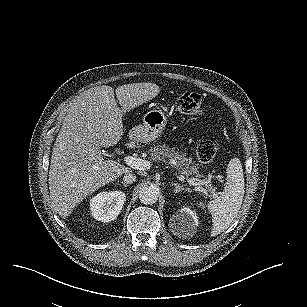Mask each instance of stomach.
<instances>
[{"label":"stomach","instance_id":"obj_1","mask_svg":"<svg viewBox=\"0 0 307 307\" xmlns=\"http://www.w3.org/2000/svg\"><path fill=\"white\" fill-rule=\"evenodd\" d=\"M167 122L161 110H151L143 117V123L131 128L128 139L133 143H149L157 139Z\"/></svg>","mask_w":307,"mask_h":307}]
</instances>
